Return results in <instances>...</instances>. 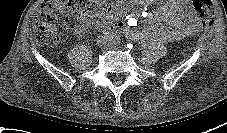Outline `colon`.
Segmentation results:
<instances>
[{
  "label": "colon",
  "mask_w": 227,
  "mask_h": 133,
  "mask_svg": "<svg viewBox=\"0 0 227 133\" xmlns=\"http://www.w3.org/2000/svg\"><path fill=\"white\" fill-rule=\"evenodd\" d=\"M194 9L199 15L201 25L207 30L213 22L214 6L212 0H192ZM96 8L92 0H43L35 17L34 37L41 45H55L68 33L71 19L81 17ZM105 12L111 6H103Z\"/></svg>",
  "instance_id": "obj_1"
}]
</instances>
